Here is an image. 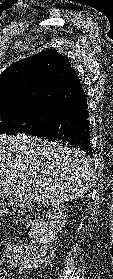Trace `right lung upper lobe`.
Segmentation results:
<instances>
[{"instance_id": "1", "label": "right lung upper lobe", "mask_w": 113, "mask_h": 279, "mask_svg": "<svg viewBox=\"0 0 113 279\" xmlns=\"http://www.w3.org/2000/svg\"><path fill=\"white\" fill-rule=\"evenodd\" d=\"M83 89L67 56L45 49L9 66L0 75V109L76 104Z\"/></svg>"}]
</instances>
